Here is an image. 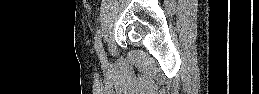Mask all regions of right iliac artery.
Listing matches in <instances>:
<instances>
[{
    "label": "right iliac artery",
    "instance_id": "right-iliac-artery-1",
    "mask_svg": "<svg viewBox=\"0 0 259 94\" xmlns=\"http://www.w3.org/2000/svg\"><path fill=\"white\" fill-rule=\"evenodd\" d=\"M95 48L97 50L98 56H99L102 64H105L106 58H105L104 50H103V47H102L100 30L97 32V35H96V38H95Z\"/></svg>",
    "mask_w": 259,
    "mask_h": 94
}]
</instances>
